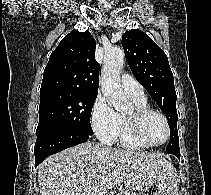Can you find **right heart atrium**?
Here are the masks:
<instances>
[{"mask_svg":"<svg viewBox=\"0 0 211 195\" xmlns=\"http://www.w3.org/2000/svg\"><path fill=\"white\" fill-rule=\"evenodd\" d=\"M91 126L102 142L112 144L116 141L120 127V115L103 96H98L94 101Z\"/></svg>","mask_w":211,"mask_h":195,"instance_id":"obj_1","label":"right heart atrium"}]
</instances>
